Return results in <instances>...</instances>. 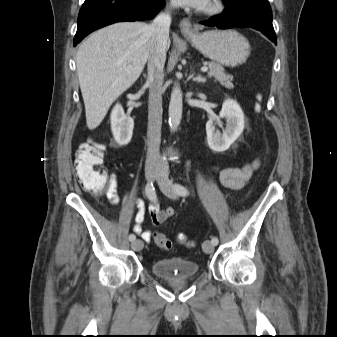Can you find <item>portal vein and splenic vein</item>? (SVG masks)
<instances>
[{
  "instance_id": "portal-vein-and-splenic-vein-1",
  "label": "portal vein and splenic vein",
  "mask_w": 337,
  "mask_h": 337,
  "mask_svg": "<svg viewBox=\"0 0 337 337\" xmlns=\"http://www.w3.org/2000/svg\"><path fill=\"white\" fill-rule=\"evenodd\" d=\"M201 71H202V72H207V71H208V67H206V66L202 67V68H201Z\"/></svg>"
}]
</instances>
